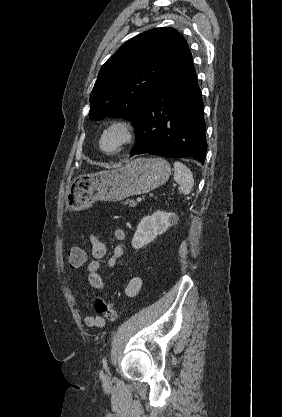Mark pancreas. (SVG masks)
<instances>
[{
  "label": "pancreas",
  "instance_id": "cf45deb5",
  "mask_svg": "<svg viewBox=\"0 0 282 417\" xmlns=\"http://www.w3.org/2000/svg\"><path fill=\"white\" fill-rule=\"evenodd\" d=\"M127 202H129V206H136L137 204L136 200H130V198H128V200H125V204H127Z\"/></svg>",
  "mask_w": 282,
  "mask_h": 417
}]
</instances>
